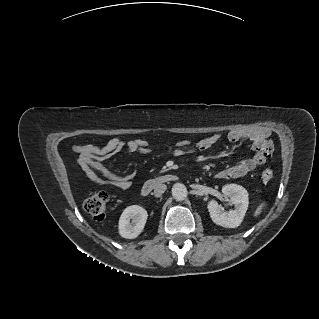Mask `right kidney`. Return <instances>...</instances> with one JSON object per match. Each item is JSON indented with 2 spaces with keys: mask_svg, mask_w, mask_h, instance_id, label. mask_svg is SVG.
Segmentation results:
<instances>
[{
  "mask_svg": "<svg viewBox=\"0 0 319 319\" xmlns=\"http://www.w3.org/2000/svg\"><path fill=\"white\" fill-rule=\"evenodd\" d=\"M147 211L139 205H131L124 209L119 219V234L126 239L136 238L144 229Z\"/></svg>",
  "mask_w": 319,
  "mask_h": 319,
  "instance_id": "ca27d5eb",
  "label": "right kidney"
}]
</instances>
